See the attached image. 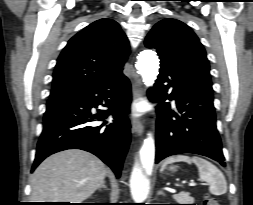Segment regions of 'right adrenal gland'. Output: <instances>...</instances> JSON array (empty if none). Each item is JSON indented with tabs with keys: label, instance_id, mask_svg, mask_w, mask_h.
<instances>
[{
	"label": "right adrenal gland",
	"instance_id": "right-adrenal-gland-1",
	"mask_svg": "<svg viewBox=\"0 0 253 205\" xmlns=\"http://www.w3.org/2000/svg\"><path fill=\"white\" fill-rule=\"evenodd\" d=\"M102 188L106 189V185H105V181L101 184V186L98 188V190L100 191Z\"/></svg>",
	"mask_w": 253,
	"mask_h": 205
}]
</instances>
